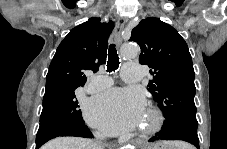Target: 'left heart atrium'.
<instances>
[{
    "instance_id": "39dd6f15",
    "label": "left heart atrium",
    "mask_w": 227,
    "mask_h": 149,
    "mask_svg": "<svg viewBox=\"0 0 227 149\" xmlns=\"http://www.w3.org/2000/svg\"><path fill=\"white\" fill-rule=\"evenodd\" d=\"M144 96L133 89H111L93 96L86 104L89 124L112 135L138 126L144 116Z\"/></svg>"
}]
</instances>
